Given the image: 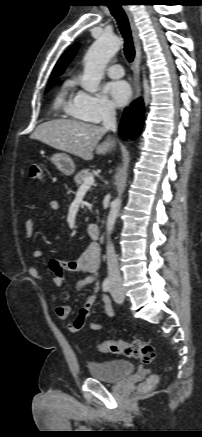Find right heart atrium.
Listing matches in <instances>:
<instances>
[{"label":"right heart atrium","mask_w":202,"mask_h":437,"mask_svg":"<svg viewBox=\"0 0 202 437\" xmlns=\"http://www.w3.org/2000/svg\"><path fill=\"white\" fill-rule=\"evenodd\" d=\"M71 113L78 119L97 123L113 117L115 106L105 94L79 90L72 100Z\"/></svg>","instance_id":"right-heart-atrium-1"}]
</instances>
